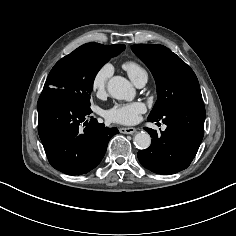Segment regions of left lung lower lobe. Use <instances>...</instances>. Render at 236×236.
Returning a JSON list of instances; mask_svg holds the SVG:
<instances>
[{"label": "left lung lower lobe", "instance_id": "obj_1", "mask_svg": "<svg viewBox=\"0 0 236 236\" xmlns=\"http://www.w3.org/2000/svg\"><path fill=\"white\" fill-rule=\"evenodd\" d=\"M165 131L144 128L152 137L146 150L137 153L140 163L157 174H174L194 159L204 135L205 107L202 99L190 98L170 107L161 118ZM158 122L160 119L147 118Z\"/></svg>", "mask_w": 236, "mask_h": 236}]
</instances>
